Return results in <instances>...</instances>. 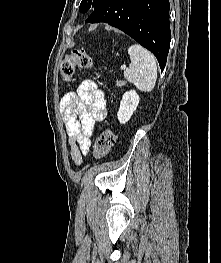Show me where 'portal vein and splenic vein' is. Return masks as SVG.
Returning <instances> with one entry per match:
<instances>
[{
    "instance_id": "18ae733b",
    "label": "portal vein and splenic vein",
    "mask_w": 221,
    "mask_h": 263,
    "mask_svg": "<svg viewBox=\"0 0 221 263\" xmlns=\"http://www.w3.org/2000/svg\"><path fill=\"white\" fill-rule=\"evenodd\" d=\"M121 69H122V70L125 69V65H122V66H121Z\"/></svg>"
}]
</instances>
